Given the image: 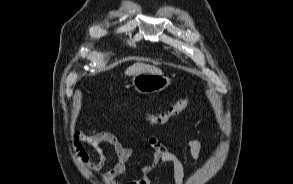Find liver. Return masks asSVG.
Listing matches in <instances>:
<instances>
[{
  "mask_svg": "<svg viewBox=\"0 0 293 184\" xmlns=\"http://www.w3.org/2000/svg\"><path fill=\"white\" fill-rule=\"evenodd\" d=\"M154 73V74H162V71L155 67V66H151L149 64H145V63H140L137 62L133 65H131L130 67H128L125 71V74L128 76H134L136 74L139 73Z\"/></svg>",
  "mask_w": 293,
  "mask_h": 184,
  "instance_id": "6515ba94",
  "label": "liver"
}]
</instances>
